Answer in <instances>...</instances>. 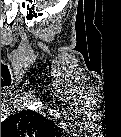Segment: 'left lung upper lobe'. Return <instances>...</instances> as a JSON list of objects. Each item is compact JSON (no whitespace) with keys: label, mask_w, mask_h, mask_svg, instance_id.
Masks as SVG:
<instances>
[{"label":"left lung upper lobe","mask_w":121,"mask_h":137,"mask_svg":"<svg viewBox=\"0 0 121 137\" xmlns=\"http://www.w3.org/2000/svg\"><path fill=\"white\" fill-rule=\"evenodd\" d=\"M55 130L56 126L50 119L32 110L21 111L1 124V135L5 137L47 136Z\"/></svg>","instance_id":"left-lung-upper-lobe-1"}]
</instances>
